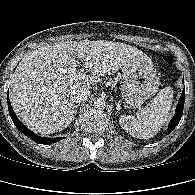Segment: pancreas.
Returning <instances> with one entry per match:
<instances>
[{
  "label": "pancreas",
  "mask_w": 195,
  "mask_h": 195,
  "mask_svg": "<svg viewBox=\"0 0 195 195\" xmlns=\"http://www.w3.org/2000/svg\"><path fill=\"white\" fill-rule=\"evenodd\" d=\"M109 81H110V84H112V85L115 84L114 80L110 79Z\"/></svg>",
  "instance_id": "obj_1"
}]
</instances>
